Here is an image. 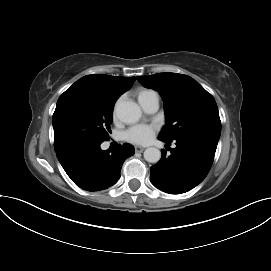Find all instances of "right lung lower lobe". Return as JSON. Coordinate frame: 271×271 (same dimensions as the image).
Returning a JSON list of instances; mask_svg holds the SVG:
<instances>
[{
	"label": "right lung lower lobe",
	"mask_w": 271,
	"mask_h": 271,
	"mask_svg": "<svg viewBox=\"0 0 271 271\" xmlns=\"http://www.w3.org/2000/svg\"><path fill=\"white\" fill-rule=\"evenodd\" d=\"M100 145L77 148L58 157L71 180L91 192L115 184L120 178L123 162L134 154V147L129 144H119L112 151H102Z\"/></svg>",
	"instance_id": "obj_1"
}]
</instances>
